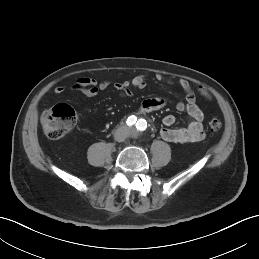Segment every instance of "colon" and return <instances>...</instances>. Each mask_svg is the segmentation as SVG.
<instances>
[{
	"label": "colon",
	"mask_w": 259,
	"mask_h": 259,
	"mask_svg": "<svg viewBox=\"0 0 259 259\" xmlns=\"http://www.w3.org/2000/svg\"><path fill=\"white\" fill-rule=\"evenodd\" d=\"M77 114L68 104H58L45 111L41 116V127L44 134L51 139H59L66 135L76 124ZM222 123L218 119L208 122L211 132H218Z\"/></svg>",
	"instance_id": "5ec220e1"
}]
</instances>
